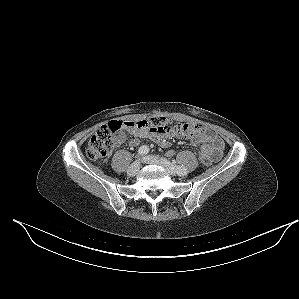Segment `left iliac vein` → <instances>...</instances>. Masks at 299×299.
<instances>
[{
  "label": "left iliac vein",
  "instance_id": "left-iliac-vein-1",
  "mask_svg": "<svg viewBox=\"0 0 299 299\" xmlns=\"http://www.w3.org/2000/svg\"><path fill=\"white\" fill-rule=\"evenodd\" d=\"M143 161L148 164L160 165L164 167L166 170H168L172 175L176 174L175 170L171 167V165H169L166 161L159 157L148 155L143 158Z\"/></svg>",
  "mask_w": 299,
  "mask_h": 299
}]
</instances>
